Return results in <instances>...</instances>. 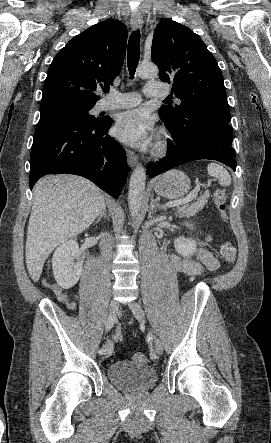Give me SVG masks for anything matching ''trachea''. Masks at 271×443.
<instances>
[{
	"label": "trachea",
	"instance_id": "trachea-1",
	"mask_svg": "<svg viewBox=\"0 0 271 443\" xmlns=\"http://www.w3.org/2000/svg\"><path fill=\"white\" fill-rule=\"evenodd\" d=\"M128 69L130 78H134V74L140 59V31L132 32L127 48ZM164 101L170 102L172 99L166 98Z\"/></svg>",
	"mask_w": 271,
	"mask_h": 443
}]
</instances>
